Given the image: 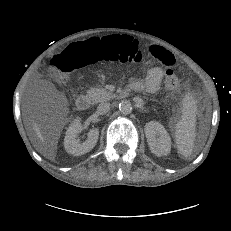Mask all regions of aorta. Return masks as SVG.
I'll return each instance as SVG.
<instances>
[{
    "label": "aorta",
    "instance_id": "obj_1",
    "mask_svg": "<svg viewBox=\"0 0 231 231\" xmlns=\"http://www.w3.org/2000/svg\"><path fill=\"white\" fill-rule=\"evenodd\" d=\"M119 110L123 114H130L132 112V104L127 100L121 101L119 104Z\"/></svg>",
    "mask_w": 231,
    "mask_h": 231
}]
</instances>
